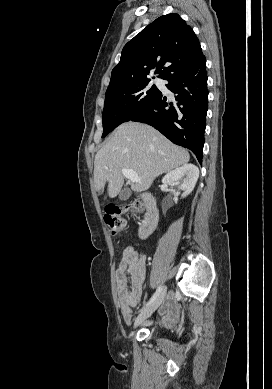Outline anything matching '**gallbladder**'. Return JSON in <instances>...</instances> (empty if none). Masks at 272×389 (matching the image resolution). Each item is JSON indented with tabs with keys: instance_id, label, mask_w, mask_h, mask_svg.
Segmentation results:
<instances>
[{
	"instance_id": "obj_1",
	"label": "gallbladder",
	"mask_w": 272,
	"mask_h": 389,
	"mask_svg": "<svg viewBox=\"0 0 272 389\" xmlns=\"http://www.w3.org/2000/svg\"><path fill=\"white\" fill-rule=\"evenodd\" d=\"M130 195H131V190L129 188H124L120 192L119 198H120V200L125 201V200L129 199Z\"/></svg>"
}]
</instances>
